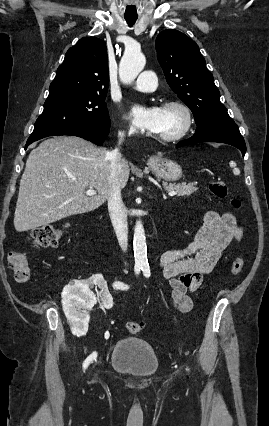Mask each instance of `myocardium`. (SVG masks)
<instances>
[{
    "instance_id": "f54148a6",
    "label": "myocardium",
    "mask_w": 269,
    "mask_h": 426,
    "mask_svg": "<svg viewBox=\"0 0 269 426\" xmlns=\"http://www.w3.org/2000/svg\"><path fill=\"white\" fill-rule=\"evenodd\" d=\"M163 108H175L183 114V125L181 128L170 135H156L155 138L164 143H173L181 140L190 131L193 124V115L190 108L180 101H168L163 105Z\"/></svg>"
}]
</instances>
